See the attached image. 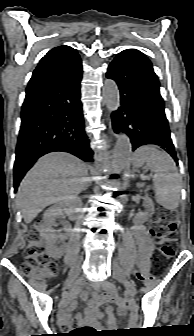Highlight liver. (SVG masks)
Segmentation results:
<instances>
[{
  "mask_svg": "<svg viewBox=\"0 0 194 336\" xmlns=\"http://www.w3.org/2000/svg\"><path fill=\"white\" fill-rule=\"evenodd\" d=\"M87 166L65 152L41 157L22 180L17 204L25 223H30L44 208L85 190Z\"/></svg>",
  "mask_w": 194,
  "mask_h": 336,
  "instance_id": "liver-1",
  "label": "liver"
}]
</instances>
